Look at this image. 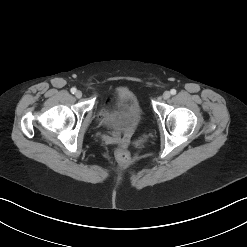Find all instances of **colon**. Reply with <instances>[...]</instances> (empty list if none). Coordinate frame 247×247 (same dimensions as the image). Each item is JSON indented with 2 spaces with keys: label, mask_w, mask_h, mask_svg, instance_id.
Returning <instances> with one entry per match:
<instances>
[{
  "label": "colon",
  "mask_w": 247,
  "mask_h": 247,
  "mask_svg": "<svg viewBox=\"0 0 247 247\" xmlns=\"http://www.w3.org/2000/svg\"><path fill=\"white\" fill-rule=\"evenodd\" d=\"M115 157L118 163L121 165L127 164L130 160L129 153L123 149H117L115 152Z\"/></svg>",
  "instance_id": "obj_1"
}]
</instances>
